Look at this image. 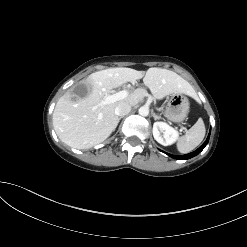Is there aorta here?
<instances>
[{"mask_svg": "<svg viewBox=\"0 0 247 247\" xmlns=\"http://www.w3.org/2000/svg\"><path fill=\"white\" fill-rule=\"evenodd\" d=\"M139 114L141 115V116H144V117H146V116H148V114H149V108L148 107H146V106H142V107H140L139 108Z\"/></svg>", "mask_w": 247, "mask_h": 247, "instance_id": "aorta-1", "label": "aorta"}]
</instances>
